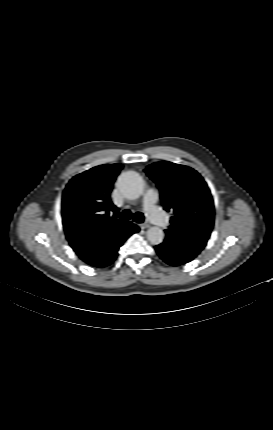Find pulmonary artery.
Masks as SVG:
<instances>
[{"instance_id": "pulmonary-artery-1", "label": "pulmonary artery", "mask_w": 273, "mask_h": 430, "mask_svg": "<svg viewBox=\"0 0 273 430\" xmlns=\"http://www.w3.org/2000/svg\"><path fill=\"white\" fill-rule=\"evenodd\" d=\"M158 198L159 194L155 188L148 189L144 195V209L151 220H153L158 226L165 227L166 220L164 213L157 206Z\"/></svg>"}]
</instances>
